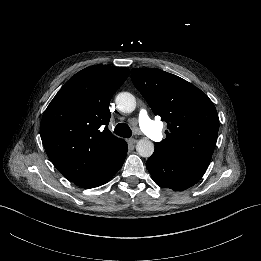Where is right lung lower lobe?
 I'll use <instances>...</instances> for the list:
<instances>
[{
  "label": "right lung lower lobe",
  "mask_w": 261,
  "mask_h": 261,
  "mask_svg": "<svg viewBox=\"0 0 261 261\" xmlns=\"http://www.w3.org/2000/svg\"><path fill=\"white\" fill-rule=\"evenodd\" d=\"M126 155L127 146L124 147V149L117 156H115L104 168L74 183L83 188H94L106 183L121 168Z\"/></svg>",
  "instance_id": "1"
}]
</instances>
